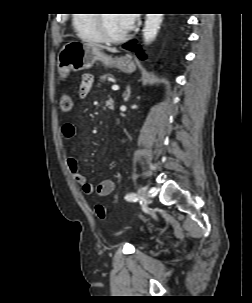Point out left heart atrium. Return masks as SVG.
Segmentation results:
<instances>
[{"label": "left heart atrium", "mask_w": 252, "mask_h": 303, "mask_svg": "<svg viewBox=\"0 0 252 303\" xmlns=\"http://www.w3.org/2000/svg\"><path fill=\"white\" fill-rule=\"evenodd\" d=\"M124 20V24L127 29L132 28L136 22V14H121Z\"/></svg>", "instance_id": "left-heart-atrium-1"}]
</instances>
